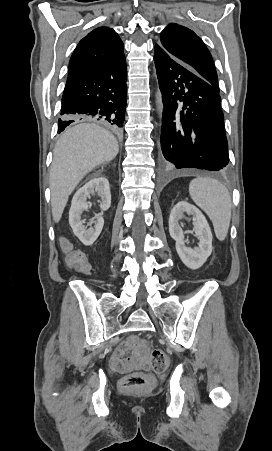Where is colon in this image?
Returning <instances> with one entry per match:
<instances>
[{
    "instance_id": "1",
    "label": "colon",
    "mask_w": 272,
    "mask_h": 451,
    "mask_svg": "<svg viewBox=\"0 0 272 451\" xmlns=\"http://www.w3.org/2000/svg\"><path fill=\"white\" fill-rule=\"evenodd\" d=\"M62 249L67 253L73 271H86L87 264L83 258V253L79 247H71V244L65 240H60ZM159 345H153L152 342H142L141 350L132 355H123L116 353L113 359V366L120 370V374H126L121 386L124 389L132 387L152 388L156 386L154 373L165 371L169 365L167 354L161 351ZM149 364L153 367L154 373L137 372V366Z\"/></svg>"
}]
</instances>
